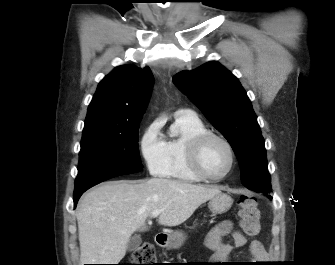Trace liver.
Segmentation results:
<instances>
[{"label":"liver","mask_w":335,"mask_h":265,"mask_svg":"<svg viewBox=\"0 0 335 265\" xmlns=\"http://www.w3.org/2000/svg\"><path fill=\"white\" fill-rule=\"evenodd\" d=\"M220 192L215 186L163 178L110 181L93 188L76 212L81 265L118 264L131 235L146 230L145 222L153 211L161 210L160 225L178 226Z\"/></svg>","instance_id":"liver-1"}]
</instances>
